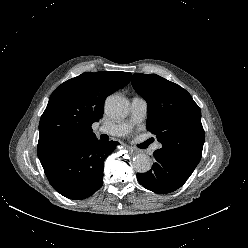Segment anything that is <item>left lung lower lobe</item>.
<instances>
[{"instance_id":"left-lung-lower-lobe-1","label":"left lung lower lobe","mask_w":248,"mask_h":248,"mask_svg":"<svg viewBox=\"0 0 248 248\" xmlns=\"http://www.w3.org/2000/svg\"><path fill=\"white\" fill-rule=\"evenodd\" d=\"M156 162L146 173H137L139 183L146 189L158 194H166L180 188L192 173L177 163L154 152Z\"/></svg>"}]
</instances>
